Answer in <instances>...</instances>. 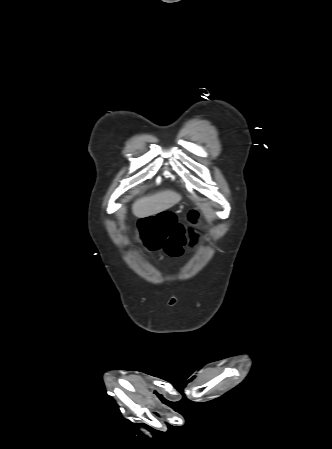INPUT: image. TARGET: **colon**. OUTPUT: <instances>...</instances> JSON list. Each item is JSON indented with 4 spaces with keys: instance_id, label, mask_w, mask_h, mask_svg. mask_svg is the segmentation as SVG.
Listing matches in <instances>:
<instances>
[{
    "instance_id": "1",
    "label": "colon",
    "mask_w": 332,
    "mask_h": 449,
    "mask_svg": "<svg viewBox=\"0 0 332 449\" xmlns=\"http://www.w3.org/2000/svg\"><path fill=\"white\" fill-rule=\"evenodd\" d=\"M190 226L176 221L171 212H161L141 219L138 224L139 237L148 251L164 250L171 257L180 256L185 248L195 244L196 235L192 226L197 223L198 212L188 213Z\"/></svg>"
}]
</instances>
